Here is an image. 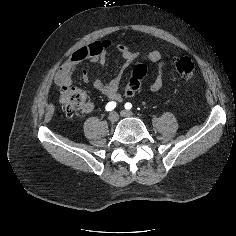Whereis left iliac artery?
<instances>
[{
    "label": "left iliac artery",
    "instance_id": "obj_1",
    "mask_svg": "<svg viewBox=\"0 0 236 236\" xmlns=\"http://www.w3.org/2000/svg\"><path fill=\"white\" fill-rule=\"evenodd\" d=\"M131 108H132V104L129 103V102H127V103L125 104V109L130 110Z\"/></svg>",
    "mask_w": 236,
    "mask_h": 236
}]
</instances>
